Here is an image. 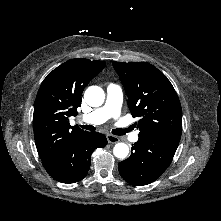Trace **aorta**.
<instances>
[{"instance_id":"1","label":"aorta","mask_w":221,"mask_h":221,"mask_svg":"<svg viewBox=\"0 0 221 221\" xmlns=\"http://www.w3.org/2000/svg\"><path fill=\"white\" fill-rule=\"evenodd\" d=\"M85 101L92 107L101 106L105 99L104 91L101 87L90 86L86 89L84 94ZM115 157L124 159L128 156L129 147L125 143H117L113 148Z\"/></svg>"}]
</instances>
